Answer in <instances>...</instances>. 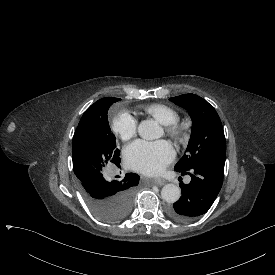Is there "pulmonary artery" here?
I'll return each instance as SVG.
<instances>
[{
    "label": "pulmonary artery",
    "mask_w": 275,
    "mask_h": 275,
    "mask_svg": "<svg viewBox=\"0 0 275 275\" xmlns=\"http://www.w3.org/2000/svg\"><path fill=\"white\" fill-rule=\"evenodd\" d=\"M189 180H190V178H187V179H186V182H189Z\"/></svg>",
    "instance_id": "pulmonary-artery-1"
}]
</instances>
